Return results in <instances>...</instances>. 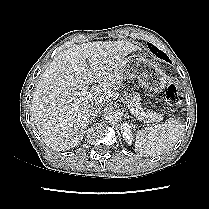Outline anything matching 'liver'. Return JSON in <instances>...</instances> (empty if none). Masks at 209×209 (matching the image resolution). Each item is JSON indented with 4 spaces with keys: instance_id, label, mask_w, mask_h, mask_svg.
Here are the masks:
<instances>
[{
    "instance_id": "1",
    "label": "liver",
    "mask_w": 209,
    "mask_h": 209,
    "mask_svg": "<svg viewBox=\"0 0 209 209\" xmlns=\"http://www.w3.org/2000/svg\"><path fill=\"white\" fill-rule=\"evenodd\" d=\"M140 50L129 41L74 45L60 53L41 75L31 113L42 141L56 151L77 146L89 123V108L117 99L127 56ZM98 83L87 97L77 92Z\"/></svg>"
}]
</instances>
